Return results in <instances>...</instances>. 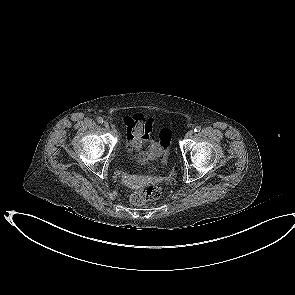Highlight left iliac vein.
<instances>
[{"label": "left iliac vein", "instance_id": "1", "mask_svg": "<svg viewBox=\"0 0 295 295\" xmlns=\"http://www.w3.org/2000/svg\"><path fill=\"white\" fill-rule=\"evenodd\" d=\"M192 135H193V130H189V131L186 133L185 137H186V138H191Z\"/></svg>", "mask_w": 295, "mask_h": 295}]
</instances>
